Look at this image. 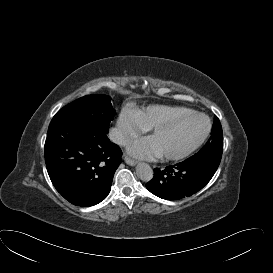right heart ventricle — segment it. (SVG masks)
<instances>
[{
  "label": "right heart ventricle",
  "mask_w": 273,
  "mask_h": 273,
  "mask_svg": "<svg viewBox=\"0 0 273 273\" xmlns=\"http://www.w3.org/2000/svg\"><path fill=\"white\" fill-rule=\"evenodd\" d=\"M188 111L184 107H153L146 111H136L134 115L142 127L149 128L169 122Z\"/></svg>",
  "instance_id": "e07e8e85"
}]
</instances>
